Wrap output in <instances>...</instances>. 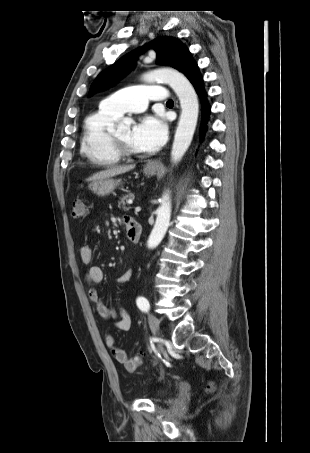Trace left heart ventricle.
<instances>
[{
    "mask_svg": "<svg viewBox=\"0 0 310 453\" xmlns=\"http://www.w3.org/2000/svg\"><path fill=\"white\" fill-rule=\"evenodd\" d=\"M132 129L133 127L131 125H128L118 131H116V135L117 137L123 142L125 143L129 148H131L132 150L136 151V152H141L142 150H140L139 148H137L134 143H133V140H132Z\"/></svg>",
    "mask_w": 310,
    "mask_h": 453,
    "instance_id": "1",
    "label": "left heart ventricle"
}]
</instances>
